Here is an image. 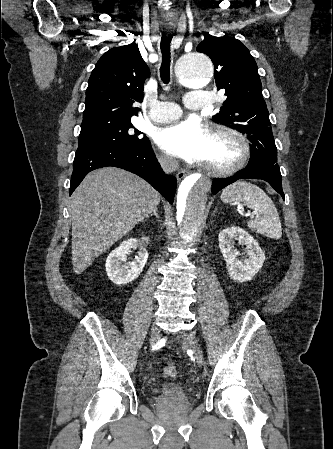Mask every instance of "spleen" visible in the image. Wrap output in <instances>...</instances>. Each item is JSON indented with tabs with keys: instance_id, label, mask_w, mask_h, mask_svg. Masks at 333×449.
<instances>
[{
	"instance_id": "1",
	"label": "spleen",
	"mask_w": 333,
	"mask_h": 449,
	"mask_svg": "<svg viewBox=\"0 0 333 449\" xmlns=\"http://www.w3.org/2000/svg\"><path fill=\"white\" fill-rule=\"evenodd\" d=\"M221 200L238 206H247L256 215L254 220L247 222L252 231L278 239L282 236V226L279 214L272 200L258 186L237 181L223 189Z\"/></svg>"
}]
</instances>
